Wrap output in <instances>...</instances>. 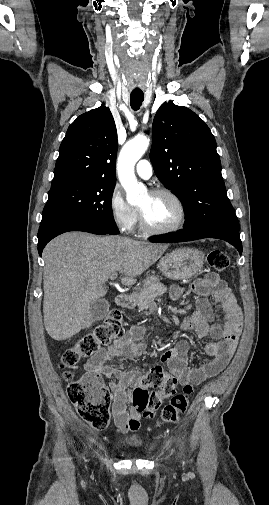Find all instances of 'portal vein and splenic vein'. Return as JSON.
Listing matches in <instances>:
<instances>
[{
	"mask_svg": "<svg viewBox=\"0 0 269 505\" xmlns=\"http://www.w3.org/2000/svg\"><path fill=\"white\" fill-rule=\"evenodd\" d=\"M115 279H116V276H112V277H111V280H115Z\"/></svg>",
	"mask_w": 269,
	"mask_h": 505,
	"instance_id": "portal-vein-and-splenic-vein-1",
	"label": "portal vein and splenic vein"
}]
</instances>
